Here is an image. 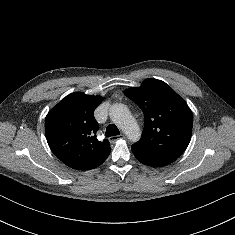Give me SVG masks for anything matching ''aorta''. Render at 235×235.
I'll list each match as a JSON object with an SVG mask.
<instances>
[{
    "label": "aorta",
    "instance_id": "aorta-1",
    "mask_svg": "<svg viewBox=\"0 0 235 235\" xmlns=\"http://www.w3.org/2000/svg\"><path fill=\"white\" fill-rule=\"evenodd\" d=\"M111 120L127 135L131 141L140 138V129L131 115L129 109L124 104H114L109 112Z\"/></svg>",
    "mask_w": 235,
    "mask_h": 235
}]
</instances>
